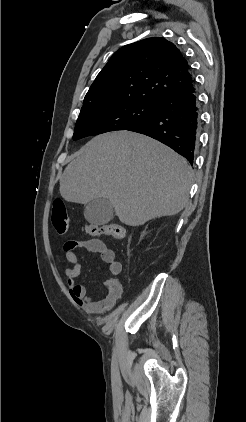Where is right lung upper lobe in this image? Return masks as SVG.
<instances>
[{
  "label": "right lung upper lobe",
  "mask_w": 246,
  "mask_h": 422,
  "mask_svg": "<svg viewBox=\"0 0 246 422\" xmlns=\"http://www.w3.org/2000/svg\"><path fill=\"white\" fill-rule=\"evenodd\" d=\"M188 61L172 42L152 37L123 46L97 75L83 107L118 99L158 101L190 89Z\"/></svg>",
  "instance_id": "right-lung-upper-lobe-1"
}]
</instances>
